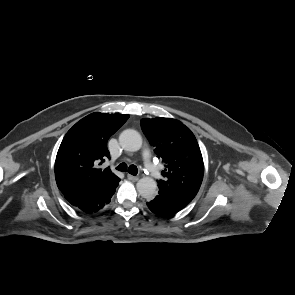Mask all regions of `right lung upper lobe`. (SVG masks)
Segmentation results:
<instances>
[{
	"mask_svg": "<svg viewBox=\"0 0 295 295\" xmlns=\"http://www.w3.org/2000/svg\"><path fill=\"white\" fill-rule=\"evenodd\" d=\"M129 115L92 113L64 136L55 161L57 186L65 197L90 193L117 177L109 167L97 168L110 158L107 141Z\"/></svg>",
	"mask_w": 295,
	"mask_h": 295,
	"instance_id": "obj_1",
	"label": "right lung upper lobe"
}]
</instances>
